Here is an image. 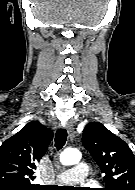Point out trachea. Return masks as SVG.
Masks as SVG:
<instances>
[{"label":"trachea","mask_w":135,"mask_h":190,"mask_svg":"<svg viewBox=\"0 0 135 190\" xmlns=\"http://www.w3.org/2000/svg\"><path fill=\"white\" fill-rule=\"evenodd\" d=\"M67 140V131L66 129H59L56 132L55 136V147L57 150H60L63 148Z\"/></svg>","instance_id":"1"}]
</instances>
